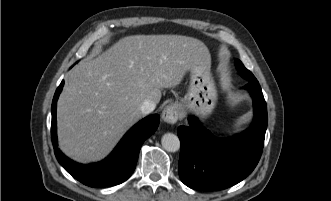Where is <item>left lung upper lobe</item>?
Here are the masks:
<instances>
[{
  "label": "left lung upper lobe",
  "mask_w": 331,
  "mask_h": 201,
  "mask_svg": "<svg viewBox=\"0 0 331 201\" xmlns=\"http://www.w3.org/2000/svg\"><path fill=\"white\" fill-rule=\"evenodd\" d=\"M236 67L239 71V73L246 79L248 80H256V78L254 77V75L244 67V65L242 64V62L240 60L236 61Z\"/></svg>",
  "instance_id": "1"
}]
</instances>
